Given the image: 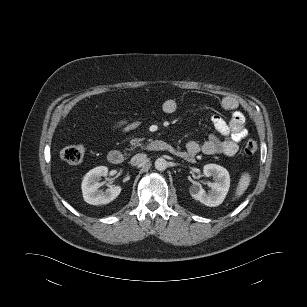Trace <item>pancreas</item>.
Segmentation results:
<instances>
[{
	"label": "pancreas",
	"mask_w": 307,
	"mask_h": 307,
	"mask_svg": "<svg viewBox=\"0 0 307 307\" xmlns=\"http://www.w3.org/2000/svg\"><path fill=\"white\" fill-rule=\"evenodd\" d=\"M144 139L143 138H134L130 141V144L133 146V147H141L142 144L141 142L143 141Z\"/></svg>",
	"instance_id": "1"
}]
</instances>
